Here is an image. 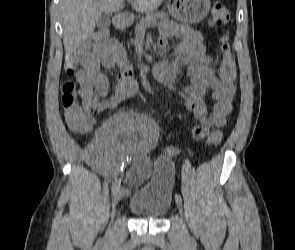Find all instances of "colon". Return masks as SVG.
I'll use <instances>...</instances> for the list:
<instances>
[{
    "label": "colon",
    "instance_id": "5ec220e1",
    "mask_svg": "<svg viewBox=\"0 0 295 250\" xmlns=\"http://www.w3.org/2000/svg\"><path fill=\"white\" fill-rule=\"evenodd\" d=\"M230 20L227 7L221 3H214L211 10V23L223 27L220 40L222 61L219 75L226 84H234L236 80V62L230 45L229 33L226 29ZM108 41V33L104 30L95 33L88 43L80 48L77 53H97L103 50ZM61 102L67 124L75 131L85 133L94 127L93 115L98 113L94 106H87L79 100L77 83L73 79L66 80L61 88ZM208 142V141H207ZM209 144V142H208Z\"/></svg>",
    "mask_w": 295,
    "mask_h": 250
}]
</instances>
